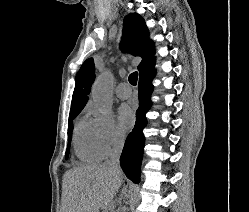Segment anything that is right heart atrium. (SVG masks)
<instances>
[{
    "label": "right heart atrium",
    "instance_id": "obj_1",
    "mask_svg": "<svg viewBox=\"0 0 249 212\" xmlns=\"http://www.w3.org/2000/svg\"><path fill=\"white\" fill-rule=\"evenodd\" d=\"M86 111L92 116L94 142L99 159H109L121 148L124 138L110 115L98 113L92 104L87 105Z\"/></svg>",
    "mask_w": 249,
    "mask_h": 212
}]
</instances>
